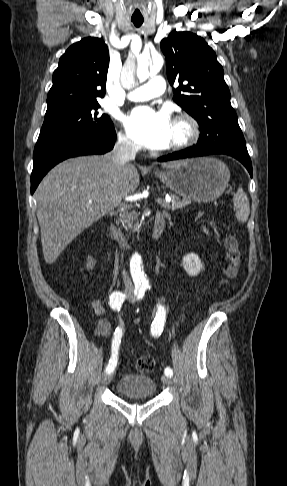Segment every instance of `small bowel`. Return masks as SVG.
Here are the masks:
<instances>
[{"mask_svg":"<svg viewBox=\"0 0 287 486\" xmlns=\"http://www.w3.org/2000/svg\"><path fill=\"white\" fill-rule=\"evenodd\" d=\"M92 308L97 316L100 317L97 323V331L102 336H109L111 333L110 323L107 319L102 318L104 307L99 299H92Z\"/></svg>","mask_w":287,"mask_h":486,"instance_id":"c3829d8e","label":"small bowel"}]
</instances>
